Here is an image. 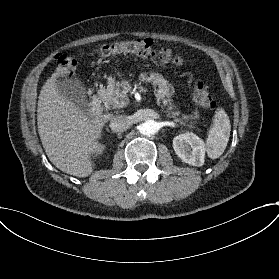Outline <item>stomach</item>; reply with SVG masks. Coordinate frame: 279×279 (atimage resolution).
<instances>
[{"label": "stomach", "mask_w": 279, "mask_h": 279, "mask_svg": "<svg viewBox=\"0 0 279 279\" xmlns=\"http://www.w3.org/2000/svg\"><path fill=\"white\" fill-rule=\"evenodd\" d=\"M125 61H126V58H118V59H116L114 67L121 66V64L123 62H125Z\"/></svg>", "instance_id": "1"}]
</instances>
